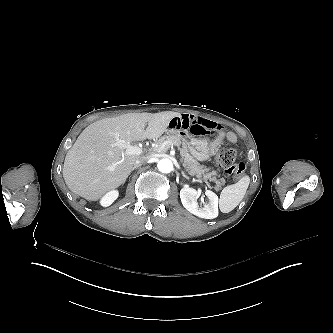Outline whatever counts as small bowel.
Returning <instances> with one entry per match:
<instances>
[{
    "instance_id": "obj_1",
    "label": "small bowel",
    "mask_w": 333,
    "mask_h": 333,
    "mask_svg": "<svg viewBox=\"0 0 333 333\" xmlns=\"http://www.w3.org/2000/svg\"><path fill=\"white\" fill-rule=\"evenodd\" d=\"M169 127L177 131L190 132L192 134H209L210 136H219L221 131L224 129V126L219 122H211L206 119H203L199 116L182 114L177 117H174L170 123ZM223 138H226L231 143L237 141V137L234 133L228 132L223 135ZM212 150H216V147H213L210 144Z\"/></svg>"
}]
</instances>
